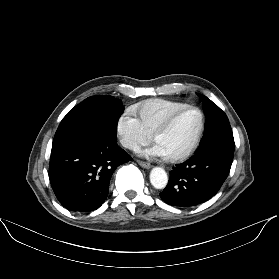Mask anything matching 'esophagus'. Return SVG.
Instances as JSON below:
<instances>
[{
	"mask_svg": "<svg viewBox=\"0 0 279 279\" xmlns=\"http://www.w3.org/2000/svg\"><path fill=\"white\" fill-rule=\"evenodd\" d=\"M137 163L146 169H149L151 167V164L149 162H145V161H141V160H137Z\"/></svg>",
	"mask_w": 279,
	"mask_h": 279,
	"instance_id": "obj_1",
	"label": "esophagus"
}]
</instances>
